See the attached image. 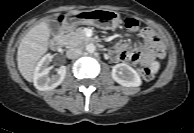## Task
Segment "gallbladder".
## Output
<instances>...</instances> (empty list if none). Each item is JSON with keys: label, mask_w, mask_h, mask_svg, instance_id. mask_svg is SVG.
<instances>
[{"label": "gallbladder", "mask_w": 194, "mask_h": 133, "mask_svg": "<svg viewBox=\"0 0 194 133\" xmlns=\"http://www.w3.org/2000/svg\"><path fill=\"white\" fill-rule=\"evenodd\" d=\"M49 27L54 34H59L61 32V25L56 18L49 20Z\"/></svg>", "instance_id": "bac80fb5"}]
</instances>
